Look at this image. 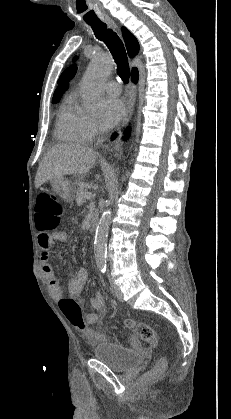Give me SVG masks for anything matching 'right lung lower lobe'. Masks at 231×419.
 <instances>
[{
	"instance_id": "obj_1",
	"label": "right lung lower lobe",
	"mask_w": 231,
	"mask_h": 419,
	"mask_svg": "<svg viewBox=\"0 0 231 419\" xmlns=\"http://www.w3.org/2000/svg\"><path fill=\"white\" fill-rule=\"evenodd\" d=\"M131 76H132V80H133V82H134V83H136V82H137V80H138V70H137V68H133V69H132ZM125 133H126V134H128V131H126ZM116 136H117V134H114V135L112 136V139H114V137H116Z\"/></svg>"
}]
</instances>
